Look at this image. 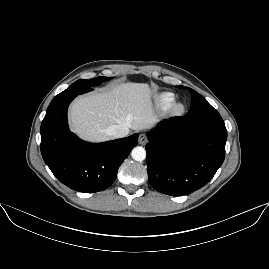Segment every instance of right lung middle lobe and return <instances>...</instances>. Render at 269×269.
<instances>
[{
	"mask_svg": "<svg viewBox=\"0 0 269 269\" xmlns=\"http://www.w3.org/2000/svg\"><path fill=\"white\" fill-rule=\"evenodd\" d=\"M109 78L107 77H96L90 80H85V79H80L78 81H76L75 83H73L70 87L72 88H78V89H86V91L89 87H93L96 86L98 84H100L101 82L108 80Z\"/></svg>",
	"mask_w": 269,
	"mask_h": 269,
	"instance_id": "obj_1",
	"label": "right lung middle lobe"
}]
</instances>
